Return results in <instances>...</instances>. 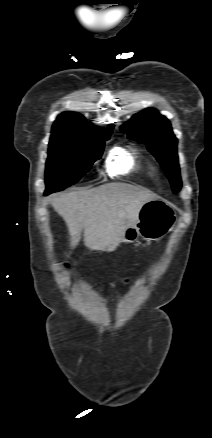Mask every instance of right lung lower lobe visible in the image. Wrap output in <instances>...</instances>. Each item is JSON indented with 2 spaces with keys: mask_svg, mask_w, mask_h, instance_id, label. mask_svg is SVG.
<instances>
[{
  "mask_svg": "<svg viewBox=\"0 0 212 438\" xmlns=\"http://www.w3.org/2000/svg\"><path fill=\"white\" fill-rule=\"evenodd\" d=\"M50 193H52L51 190H46L45 193H44V195H48V194H50Z\"/></svg>",
  "mask_w": 212,
  "mask_h": 438,
  "instance_id": "right-lung-lower-lobe-1",
  "label": "right lung lower lobe"
}]
</instances>
